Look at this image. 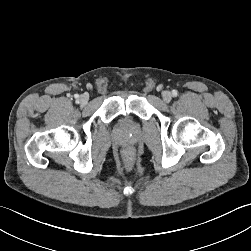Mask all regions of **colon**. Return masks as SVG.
<instances>
[{
  "mask_svg": "<svg viewBox=\"0 0 251 251\" xmlns=\"http://www.w3.org/2000/svg\"><path fill=\"white\" fill-rule=\"evenodd\" d=\"M122 157L125 165L130 167L134 161V152L131 149H125Z\"/></svg>",
  "mask_w": 251,
  "mask_h": 251,
  "instance_id": "colon-1",
  "label": "colon"
}]
</instances>
